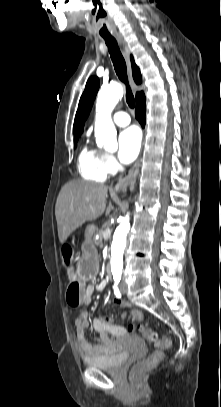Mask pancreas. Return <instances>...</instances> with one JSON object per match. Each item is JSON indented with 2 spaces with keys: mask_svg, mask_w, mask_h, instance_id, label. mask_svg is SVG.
<instances>
[{
  "mask_svg": "<svg viewBox=\"0 0 221 407\" xmlns=\"http://www.w3.org/2000/svg\"><path fill=\"white\" fill-rule=\"evenodd\" d=\"M103 230H100L97 234L99 236L98 239H95L94 242L96 245L102 247L103 246Z\"/></svg>",
  "mask_w": 221,
  "mask_h": 407,
  "instance_id": "pancreas-1",
  "label": "pancreas"
}]
</instances>
